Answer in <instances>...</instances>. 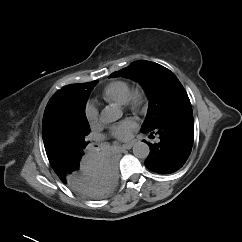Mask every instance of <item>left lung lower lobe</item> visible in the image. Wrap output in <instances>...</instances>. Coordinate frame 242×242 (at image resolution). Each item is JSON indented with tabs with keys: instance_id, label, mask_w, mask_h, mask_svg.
Segmentation results:
<instances>
[{
	"instance_id": "left-lung-lower-lobe-1",
	"label": "left lung lower lobe",
	"mask_w": 242,
	"mask_h": 242,
	"mask_svg": "<svg viewBox=\"0 0 242 242\" xmlns=\"http://www.w3.org/2000/svg\"><path fill=\"white\" fill-rule=\"evenodd\" d=\"M152 137L158 134V144L148 143L150 154L145 166L158 174H171L178 171L188 159L194 140L193 111L190 104L177 108L161 119L153 128L143 130Z\"/></svg>"
}]
</instances>
